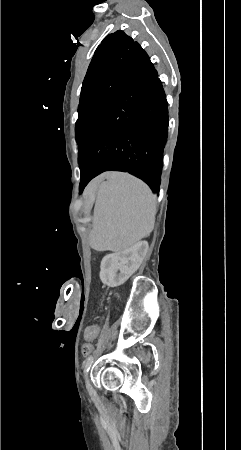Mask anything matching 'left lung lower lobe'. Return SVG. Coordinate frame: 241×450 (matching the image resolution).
Instances as JSON below:
<instances>
[{"instance_id": "obj_1", "label": "left lung lower lobe", "mask_w": 241, "mask_h": 450, "mask_svg": "<svg viewBox=\"0 0 241 450\" xmlns=\"http://www.w3.org/2000/svg\"><path fill=\"white\" fill-rule=\"evenodd\" d=\"M117 101L97 120L78 157L80 192L105 171L129 172L159 191L168 132L167 100L158 73L136 42Z\"/></svg>"}]
</instances>
